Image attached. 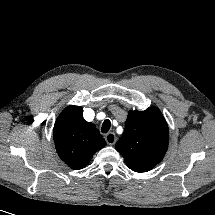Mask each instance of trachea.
<instances>
[{"instance_id":"1","label":"trachea","mask_w":215,"mask_h":215,"mask_svg":"<svg viewBox=\"0 0 215 215\" xmlns=\"http://www.w3.org/2000/svg\"><path fill=\"white\" fill-rule=\"evenodd\" d=\"M110 127H111V122H110V120L106 119L102 124L101 131L103 133H107L109 131Z\"/></svg>"}]
</instances>
